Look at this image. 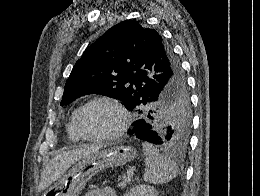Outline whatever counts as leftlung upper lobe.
<instances>
[{
  "instance_id": "1",
  "label": "left lung upper lobe",
  "mask_w": 260,
  "mask_h": 196,
  "mask_svg": "<svg viewBox=\"0 0 260 196\" xmlns=\"http://www.w3.org/2000/svg\"><path fill=\"white\" fill-rule=\"evenodd\" d=\"M93 93L135 109L159 134V145L176 151L187 148L191 108L186 82L171 47L155 29L125 20L85 50L60 105Z\"/></svg>"
}]
</instances>
